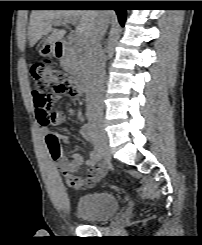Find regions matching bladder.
I'll list each match as a JSON object with an SVG mask.
<instances>
[{"label": "bladder", "instance_id": "1", "mask_svg": "<svg viewBox=\"0 0 202 245\" xmlns=\"http://www.w3.org/2000/svg\"><path fill=\"white\" fill-rule=\"evenodd\" d=\"M120 208L117 196L111 192H91L82 195L76 212L87 223L100 224L115 216Z\"/></svg>", "mask_w": 202, "mask_h": 245}]
</instances>
